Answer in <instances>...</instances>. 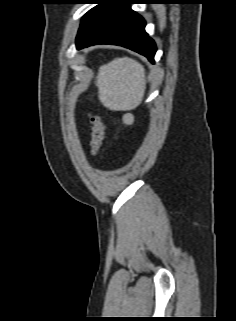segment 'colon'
Returning a JSON list of instances; mask_svg holds the SVG:
<instances>
[{"instance_id":"colon-1","label":"colon","mask_w":236,"mask_h":321,"mask_svg":"<svg viewBox=\"0 0 236 321\" xmlns=\"http://www.w3.org/2000/svg\"><path fill=\"white\" fill-rule=\"evenodd\" d=\"M89 123L91 126V155L96 157L104 140V123L99 115H90Z\"/></svg>"}]
</instances>
